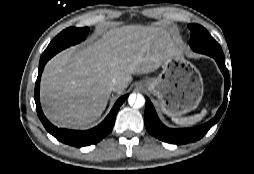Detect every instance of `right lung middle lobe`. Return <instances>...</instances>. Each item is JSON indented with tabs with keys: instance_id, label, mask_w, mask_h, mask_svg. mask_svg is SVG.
<instances>
[{
	"instance_id": "right-lung-middle-lobe-1",
	"label": "right lung middle lobe",
	"mask_w": 254,
	"mask_h": 174,
	"mask_svg": "<svg viewBox=\"0 0 254 174\" xmlns=\"http://www.w3.org/2000/svg\"><path fill=\"white\" fill-rule=\"evenodd\" d=\"M88 32V27H69L63 30L51 41L46 50L43 52L40 60H49L59 51L81 42L85 39V36L88 34Z\"/></svg>"
}]
</instances>
